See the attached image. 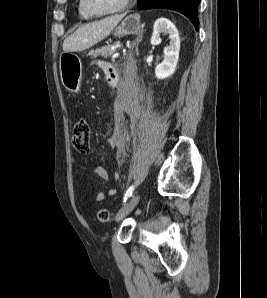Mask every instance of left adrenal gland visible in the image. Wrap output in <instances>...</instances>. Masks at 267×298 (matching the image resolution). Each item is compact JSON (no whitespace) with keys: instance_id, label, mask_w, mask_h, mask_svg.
<instances>
[{"instance_id":"obj_1","label":"left adrenal gland","mask_w":267,"mask_h":298,"mask_svg":"<svg viewBox=\"0 0 267 298\" xmlns=\"http://www.w3.org/2000/svg\"><path fill=\"white\" fill-rule=\"evenodd\" d=\"M142 37H143V35L141 33L139 35V37H137L136 40L133 42V45H132V49H131L130 54L132 53L133 48L136 47V54L138 55V47L137 46H138L139 42L142 40Z\"/></svg>"}]
</instances>
